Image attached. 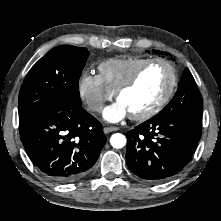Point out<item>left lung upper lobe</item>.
<instances>
[{"label": "left lung upper lobe", "instance_id": "obj_1", "mask_svg": "<svg viewBox=\"0 0 221 221\" xmlns=\"http://www.w3.org/2000/svg\"><path fill=\"white\" fill-rule=\"evenodd\" d=\"M163 110L202 123L203 99L188 68L184 69L175 96Z\"/></svg>", "mask_w": 221, "mask_h": 221}]
</instances>
